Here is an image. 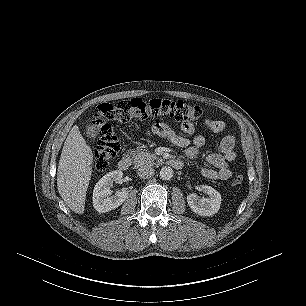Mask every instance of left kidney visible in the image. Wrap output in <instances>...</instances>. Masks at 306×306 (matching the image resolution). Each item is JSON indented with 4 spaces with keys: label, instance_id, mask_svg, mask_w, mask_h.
I'll return each mask as SVG.
<instances>
[{
    "label": "left kidney",
    "instance_id": "1",
    "mask_svg": "<svg viewBox=\"0 0 306 306\" xmlns=\"http://www.w3.org/2000/svg\"><path fill=\"white\" fill-rule=\"evenodd\" d=\"M202 191L207 194L208 198H200L192 193L187 196V203L191 210L200 216H212L217 213L221 205V195L214 188L202 185Z\"/></svg>",
    "mask_w": 306,
    "mask_h": 306
}]
</instances>
